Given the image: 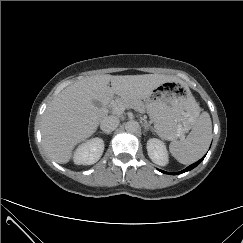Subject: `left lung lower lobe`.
<instances>
[{"label":"left lung lower lobe","instance_id":"left-lung-lower-lobe-1","mask_svg":"<svg viewBox=\"0 0 243 243\" xmlns=\"http://www.w3.org/2000/svg\"><path fill=\"white\" fill-rule=\"evenodd\" d=\"M203 159H204V157H203L202 159H200L199 161H197L196 163H194V164L188 166L186 169H184V170H182V171H180V172H177V173H167V172L162 171V170H160V171H161L162 173H165V174H173V175H175V174H181V173L190 171V170H192L193 168H195V167H196V166H197Z\"/></svg>","mask_w":243,"mask_h":243}]
</instances>
